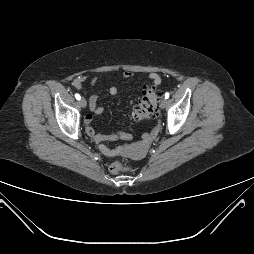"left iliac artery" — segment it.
Returning a JSON list of instances; mask_svg holds the SVG:
<instances>
[{"label":"left iliac artery","instance_id":"1","mask_svg":"<svg viewBox=\"0 0 254 254\" xmlns=\"http://www.w3.org/2000/svg\"><path fill=\"white\" fill-rule=\"evenodd\" d=\"M170 94L168 92L165 93V99H168Z\"/></svg>","mask_w":254,"mask_h":254}]
</instances>
